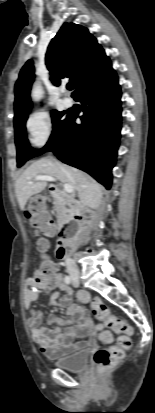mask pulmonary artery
Segmentation results:
<instances>
[{"label": "pulmonary artery", "mask_w": 155, "mask_h": 413, "mask_svg": "<svg viewBox=\"0 0 155 413\" xmlns=\"http://www.w3.org/2000/svg\"><path fill=\"white\" fill-rule=\"evenodd\" d=\"M62 93L65 94L66 90L64 87H62L61 89ZM62 102L64 104L65 107H71L73 104V101L70 97H68L67 95H64V97L62 98Z\"/></svg>", "instance_id": "1"}]
</instances>
